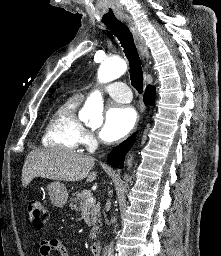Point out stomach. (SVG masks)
Wrapping results in <instances>:
<instances>
[{
    "instance_id": "stomach-1",
    "label": "stomach",
    "mask_w": 221,
    "mask_h": 256,
    "mask_svg": "<svg viewBox=\"0 0 221 256\" xmlns=\"http://www.w3.org/2000/svg\"><path fill=\"white\" fill-rule=\"evenodd\" d=\"M51 203L56 207H63L68 199V191L66 186L58 181L48 184Z\"/></svg>"
}]
</instances>
